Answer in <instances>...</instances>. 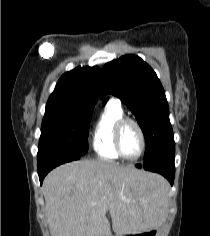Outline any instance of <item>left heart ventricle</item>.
<instances>
[{
  "instance_id": "left-heart-ventricle-1",
  "label": "left heart ventricle",
  "mask_w": 210,
  "mask_h": 236,
  "mask_svg": "<svg viewBox=\"0 0 210 236\" xmlns=\"http://www.w3.org/2000/svg\"><path fill=\"white\" fill-rule=\"evenodd\" d=\"M121 147L123 153L133 158L138 155L141 148V138L137 128L133 124H126L122 130Z\"/></svg>"
}]
</instances>
